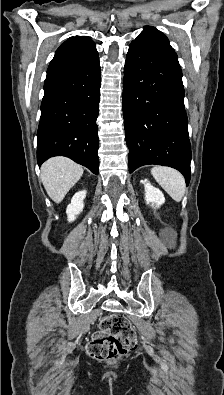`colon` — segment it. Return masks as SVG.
<instances>
[{"mask_svg":"<svg viewBox=\"0 0 224 395\" xmlns=\"http://www.w3.org/2000/svg\"><path fill=\"white\" fill-rule=\"evenodd\" d=\"M137 337L130 322L122 315H109L99 325L87 345V352L95 360L110 361L133 351Z\"/></svg>","mask_w":224,"mask_h":395,"instance_id":"5ec220e1","label":"colon"}]
</instances>
